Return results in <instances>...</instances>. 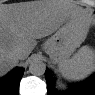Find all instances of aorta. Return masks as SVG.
<instances>
[{
	"label": "aorta",
	"mask_w": 95,
	"mask_h": 95,
	"mask_svg": "<svg viewBox=\"0 0 95 95\" xmlns=\"http://www.w3.org/2000/svg\"><path fill=\"white\" fill-rule=\"evenodd\" d=\"M46 70V65L43 61L39 59H34L29 65V72L33 75H43Z\"/></svg>",
	"instance_id": "1"
}]
</instances>
